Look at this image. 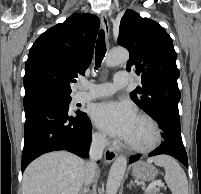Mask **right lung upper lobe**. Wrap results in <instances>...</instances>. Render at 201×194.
Listing matches in <instances>:
<instances>
[{
    "label": "right lung upper lobe",
    "mask_w": 201,
    "mask_h": 194,
    "mask_svg": "<svg viewBox=\"0 0 201 194\" xmlns=\"http://www.w3.org/2000/svg\"><path fill=\"white\" fill-rule=\"evenodd\" d=\"M99 23L95 15L75 13L41 34L26 61L24 97L70 95V83L91 63Z\"/></svg>",
    "instance_id": "cb5924a9"
}]
</instances>
